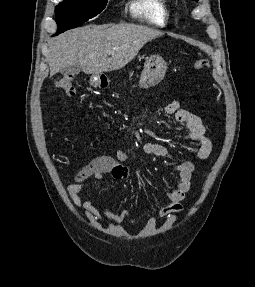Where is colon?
Returning <instances> with one entry per match:
<instances>
[{"instance_id":"1","label":"colon","mask_w":255,"mask_h":287,"mask_svg":"<svg viewBox=\"0 0 255 287\" xmlns=\"http://www.w3.org/2000/svg\"><path fill=\"white\" fill-rule=\"evenodd\" d=\"M208 67L209 62L204 58H198L194 63L196 70H204ZM56 88L65 95L73 96L76 92L73 76L71 74H65L57 81Z\"/></svg>"}]
</instances>
